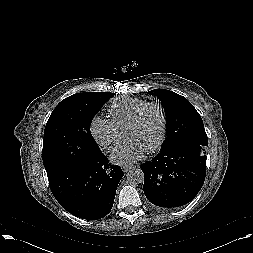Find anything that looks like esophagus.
<instances>
[{"instance_id": "esophagus-1", "label": "esophagus", "mask_w": 253, "mask_h": 253, "mask_svg": "<svg viewBox=\"0 0 253 253\" xmlns=\"http://www.w3.org/2000/svg\"><path fill=\"white\" fill-rule=\"evenodd\" d=\"M132 168H134L133 165H123V166H122V170H123L124 172H128V171L131 170Z\"/></svg>"}]
</instances>
